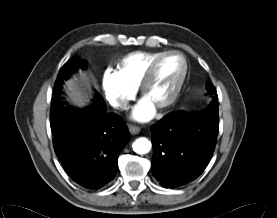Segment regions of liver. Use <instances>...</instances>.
Listing matches in <instances>:
<instances>
[{
    "mask_svg": "<svg viewBox=\"0 0 277 218\" xmlns=\"http://www.w3.org/2000/svg\"><path fill=\"white\" fill-rule=\"evenodd\" d=\"M82 83L81 85L87 86V78L84 75H81ZM67 94L69 96V100L79 107H83L89 101V93L81 88L77 83H69L67 85Z\"/></svg>",
    "mask_w": 277,
    "mask_h": 218,
    "instance_id": "1",
    "label": "liver"
}]
</instances>
